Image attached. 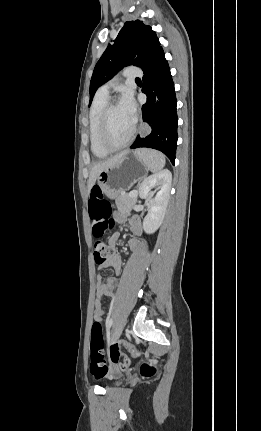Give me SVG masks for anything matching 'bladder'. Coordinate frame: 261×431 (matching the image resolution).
Returning <instances> with one entry per match:
<instances>
[{"label": "bladder", "mask_w": 261, "mask_h": 431, "mask_svg": "<svg viewBox=\"0 0 261 431\" xmlns=\"http://www.w3.org/2000/svg\"><path fill=\"white\" fill-rule=\"evenodd\" d=\"M115 377H117V379L119 378V375H117V376H115ZM115 383H118V381H116Z\"/></svg>", "instance_id": "31cf9c89"}]
</instances>
